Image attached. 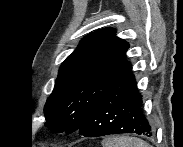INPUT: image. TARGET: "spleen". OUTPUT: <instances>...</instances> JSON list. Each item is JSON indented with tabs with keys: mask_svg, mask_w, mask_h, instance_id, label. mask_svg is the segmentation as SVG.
I'll list each match as a JSON object with an SVG mask.
<instances>
[{
	"mask_svg": "<svg viewBox=\"0 0 183 147\" xmlns=\"http://www.w3.org/2000/svg\"><path fill=\"white\" fill-rule=\"evenodd\" d=\"M103 147H151L140 138L129 136H111L102 141Z\"/></svg>",
	"mask_w": 183,
	"mask_h": 147,
	"instance_id": "1",
	"label": "spleen"
}]
</instances>
